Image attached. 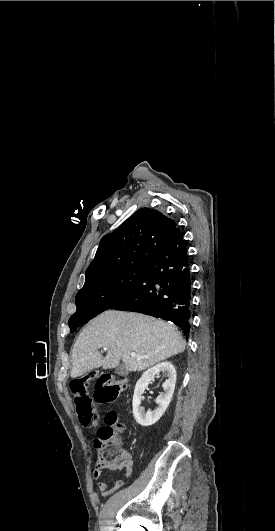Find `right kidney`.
I'll return each mask as SVG.
<instances>
[{"instance_id":"ca27d5eb","label":"right kidney","mask_w":275,"mask_h":531,"mask_svg":"<svg viewBox=\"0 0 275 531\" xmlns=\"http://www.w3.org/2000/svg\"><path fill=\"white\" fill-rule=\"evenodd\" d=\"M160 371L167 373L168 377V379H166L165 383L162 385L164 395H159V397H157L156 403L158 407L155 409V411H147V413H144L143 407H140L142 395L149 381H154L155 375L160 373ZM175 383L176 371L172 363H169V361H165V363H159V365H155V367H151V369H148V371L143 373L142 377H140L139 381L136 383L132 401L133 417L136 423H139L141 427H150V425H154V423L159 421L160 417L164 415L167 407H169V403L173 397Z\"/></svg>"}]
</instances>
